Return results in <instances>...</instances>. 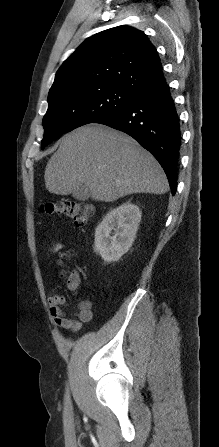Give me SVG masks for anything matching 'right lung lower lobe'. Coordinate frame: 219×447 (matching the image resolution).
I'll use <instances>...</instances> for the list:
<instances>
[{
    "instance_id": "obj_1",
    "label": "right lung lower lobe",
    "mask_w": 219,
    "mask_h": 447,
    "mask_svg": "<svg viewBox=\"0 0 219 447\" xmlns=\"http://www.w3.org/2000/svg\"><path fill=\"white\" fill-rule=\"evenodd\" d=\"M95 123L125 132L147 149L164 169L172 195L175 194L181 131L179 115L166 83Z\"/></svg>"
}]
</instances>
